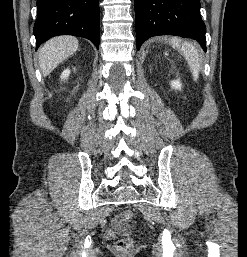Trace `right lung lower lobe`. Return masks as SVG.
<instances>
[{
  "label": "right lung lower lobe",
  "mask_w": 247,
  "mask_h": 257,
  "mask_svg": "<svg viewBox=\"0 0 247 257\" xmlns=\"http://www.w3.org/2000/svg\"><path fill=\"white\" fill-rule=\"evenodd\" d=\"M99 0H37L36 49L57 35L91 40L99 48Z\"/></svg>",
  "instance_id": "1"
}]
</instances>
